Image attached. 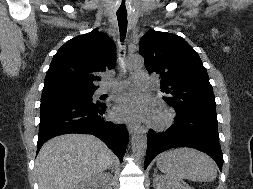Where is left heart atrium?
<instances>
[{"mask_svg": "<svg viewBox=\"0 0 253 189\" xmlns=\"http://www.w3.org/2000/svg\"><path fill=\"white\" fill-rule=\"evenodd\" d=\"M149 113L147 104L132 94H125L116 100L113 114L117 119L139 120Z\"/></svg>", "mask_w": 253, "mask_h": 189, "instance_id": "1", "label": "left heart atrium"}]
</instances>
